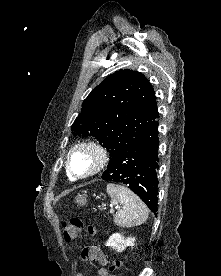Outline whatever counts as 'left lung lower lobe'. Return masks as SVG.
Instances as JSON below:
<instances>
[{
    "label": "left lung lower lobe",
    "mask_w": 221,
    "mask_h": 276,
    "mask_svg": "<svg viewBox=\"0 0 221 276\" xmlns=\"http://www.w3.org/2000/svg\"><path fill=\"white\" fill-rule=\"evenodd\" d=\"M156 119L148 122L126 148L111 156L102 175L103 180L126 184L152 212L157 211L158 200L159 140Z\"/></svg>",
    "instance_id": "left-lung-lower-lobe-1"
}]
</instances>
